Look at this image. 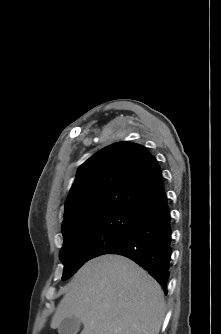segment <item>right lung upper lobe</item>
<instances>
[{"label":"right lung upper lobe","instance_id":"right-lung-upper-lobe-1","mask_svg":"<svg viewBox=\"0 0 221 334\" xmlns=\"http://www.w3.org/2000/svg\"><path fill=\"white\" fill-rule=\"evenodd\" d=\"M163 192L160 167L148 150L131 142L107 146L79 167L65 203L62 233L103 213L139 214Z\"/></svg>","mask_w":221,"mask_h":334}]
</instances>
